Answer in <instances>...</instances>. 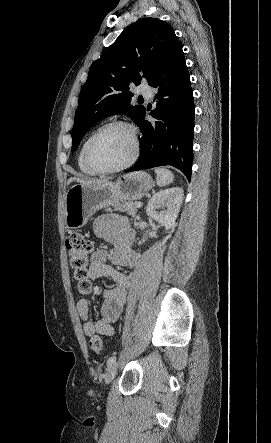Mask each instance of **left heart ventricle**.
Listing matches in <instances>:
<instances>
[{
  "label": "left heart ventricle",
  "mask_w": 271,
  "mask_h": 443,
  "mask_svg": "<svg viewBox=\"0 0 271 443\" xmlns=\"http://www.w3.org/2000/svg\"><path fill=\"white\" fill-rule=\"evenodd\" d=\"M132 149L129 131L123 127H112L104 131L93 143L91 158L101 167H116L129 158Z\"/></svg>",
  "instance_id": "left-heart-ventricle-1"
}]
</instances>
